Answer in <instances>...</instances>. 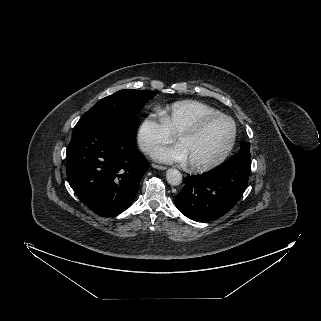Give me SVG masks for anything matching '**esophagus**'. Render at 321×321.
Returning <instances> with one entry per match:
<instances>
[{
	"label": "esophagus",
	"instance_id": "1",
	"mask_svg": "<svg viewBox=\"0 0 321 321\" xmlns=\"http://www.w3.org/2000/svg\"><path fill=\"white\" fill-rule=\"evenodd\" d=\"M153 168L159 169V170H166L167 168L165 166L157 165V164H152Z\"/></svg>",
	"mask_w": 321,
	"mask_h": 321
}]
</instances>
